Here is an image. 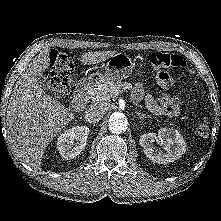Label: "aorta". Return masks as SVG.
<instances>
[{"label": "aorta", "instance_id": "1", "mask_svg": "<svg viewBox=\"0 0 221 221\" xmlns=\"http://www.w3.org/2000/svg\"><path fill=\"white\" fill-rule=\"evenodd\" d=\"M108 127L113 134L124 133L128 128V120L122 113L114 112L109 118Z\"/></svg>", "mask_w": 221, "mask_h": 221}]
</instances>
